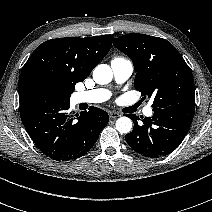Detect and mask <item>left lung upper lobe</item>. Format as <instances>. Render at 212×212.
<instances>
[{"label": "left lung upper lobe", "mask_w": 212, "mask_h": 212, "mask_svg": "<svg viewBox=\"0 0 212 212\" xmlns=\"http://www.w3.org/2000/svg\"><path fill=\"white\" fill-rule=\"evenodd\" d=\"M113 44L132 60L136 71L134 86L144 98H154L153 108L195 104L191 70L167 40L131 33L118 37Z\"/></svg>", "instance_id": "obj_1"}]
</instances>
